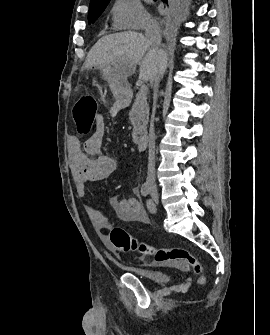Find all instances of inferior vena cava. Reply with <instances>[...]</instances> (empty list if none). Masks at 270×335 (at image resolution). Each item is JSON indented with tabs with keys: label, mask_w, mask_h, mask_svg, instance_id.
I'll return each mask as SVG.
<instances>
[{
	"label": "inferior vena cava",
	"mask_w": 270,
	"mask_h": 335,
	"mask_svg": "<svg viewBox=\"0 0 270 335\" xmlns=\"http://www.w3.org/2000/svg\"><path fill=\"white\" fill-rule=\"evenodd\" d=\"M145 36L147 40L152 42L155 48H159L162 46L161 44V30L159 24H157L156 20H152V18H147L144 24ZM163 56V54H162ZM167 64L162 66L159 74L155 76L154 80H152V88L154 94V104H156L157 96H158V88L160 84V80L166 70ZM148 173H147V183L148 185H156L155 183V130H154V114L151 118L150 122V130H149V158H148Z\"/></svg>",
	"instance_id": "602c4592"
}]
</instances>
